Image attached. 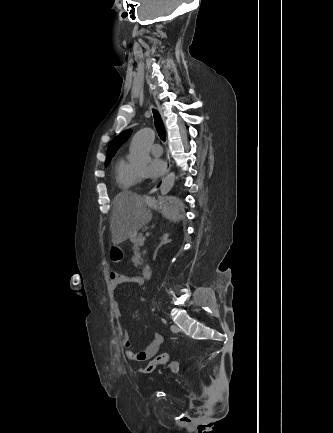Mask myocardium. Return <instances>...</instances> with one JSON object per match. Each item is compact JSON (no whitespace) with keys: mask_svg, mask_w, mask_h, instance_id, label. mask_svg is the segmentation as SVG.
I'll return each mask as SVG.
<instances>
[{"mask_svg":"<svg viewBox=\"0 0 333 433\" xmlns=\"http://www.w3.org/2000/svg\"><path fill=\"white\" fill-rule=\"evenodd\" d=\"M137 174H138V175H140V174H141V172H140V171H137Z\"/></svg>","mask_w":333,"mask_h":433,"instance_id":"obj_1","label":"myocardium"}]
</instances>
